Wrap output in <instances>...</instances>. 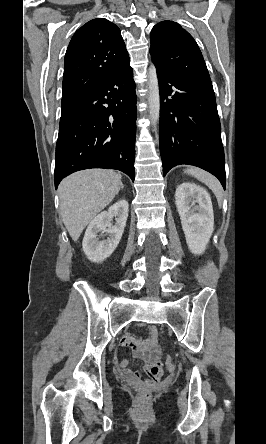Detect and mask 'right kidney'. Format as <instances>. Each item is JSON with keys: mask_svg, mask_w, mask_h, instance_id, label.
<instances>
[{"mask_svg": "<svg viewBox=\"0 0 266 444\" xmlns=\"http://www.w3.org/2000/svg\"><path fill=\"white\" fill-rule=\"evenodd\" d=\"M128 208V202L120 200L90 222L82 242L83 251L89 260L101 263L114 252L124 232ZM112 217H116L115 225L111 224ZM100 232H106L109 237L100 240Z\"/></svg>", "mask_w": 266, "mask_h": 444, "instance_id": "obj_1", "label": "right kidney"}]
</instances>
